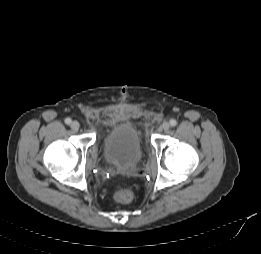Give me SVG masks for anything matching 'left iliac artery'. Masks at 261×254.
Listing matches in <instances>:
<instances>
[{
	"mask_svg": "<svg viewBox=\"0 0 261 254\" xmlns=\"http://www.w3.org/2000/svg\"><path fill=\"white\" fill-rule=\"evenodd\" d=\"M170 125L171 126H176L177 125V121L175 119H171L170 120Z\"/></svg>",
	"mask_w": 261,
	"mask_h": 254,
	"instance_id": "44dca946",
	"label": "left iliac artery"
}]
</instances>
